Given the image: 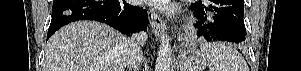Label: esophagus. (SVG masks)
Returning a JSON list of instances; mask_svg holds the SVG:
<instances>
[{
  "mask_svg": "<svg viewBox=\"0 0 301 71\" xmlns=\"http://www.w3.org/2000/svg\"><path fill=\"white\" fill-rule=\"evenodd\" d=\"M148 18L154 34L157 37H160L164 31V23L160 16L154 11V9L150 8L148 10Z\"/></svg>",
  "mask_w": 301,
  "mask_h": 71,
  "instance_id": "34e87169",
  "label": "esophagus"
}]
</instances>
